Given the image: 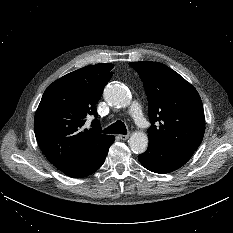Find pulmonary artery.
Instances as JSON below:
<instances>
[{
  "label": "pulmonary artery",
  "instance_id": "pulmonary-artery-1",
  "mask_svg": "<svg viewBox=\"0 0 233 233\" xmlns=\"http://www.w3.org/2000/svg\"><path fill=\"white\" fill-rule=\"evenodd\" d=\"M129 114L140 128H146L148 126V122L143 116L141 106L138 102H133L130 109Z\"/></svg>",
  "mask_w": 233,
  "mask_h": 233
}]
</instances>
